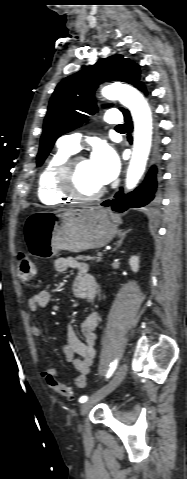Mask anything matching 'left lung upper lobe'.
Segmentation results:
<instances>
[{"instance_id":"1","label":"left lung upper lobe","mask_w":187,"mask_h":479,"mask_svg":"<svg viewBox=\"0 0 187 479\" xmlns=\"http://www.w3.org/2000/svg\"><path fill=\"white\" fill-rule=\"evenodd\" d=\"M139 79L137 64L122 55H114L60 82L51 97L44 120L37 165H42L59 136L81 126L87 114L97 111L94 91L101 82L118 80L137 87Z\"/></svg>"}]
</instances>
